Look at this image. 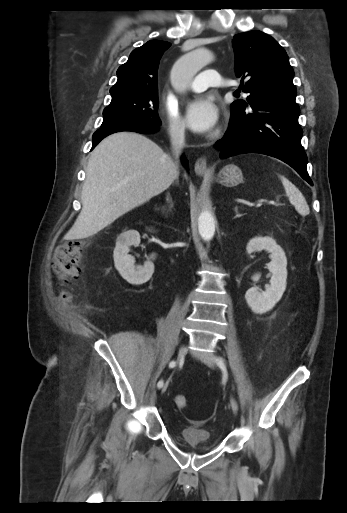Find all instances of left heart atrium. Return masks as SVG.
<instances>
[{
    "instance_id": "obj_1",
    "label": "left heart atrium",
    "mask_w": 347,
    "mask_h": 513,
    "mask_svg": "<svg viewBox=\"0 0 347 513\" xmlns=\"http://www.w3.org/2000/svg\"><path fill=\"white\" fill-rule=\"evenodd\" d=\"M187 126L196 133H208L214 129L219 120L218 107L210 96H199L190 101L186 107Z\"/></svg>"
}]
</instances>
